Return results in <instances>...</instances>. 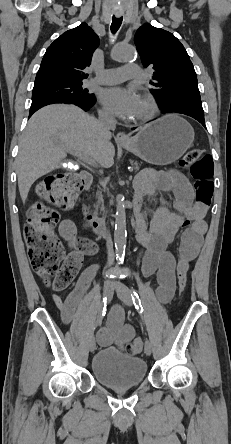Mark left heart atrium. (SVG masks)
<instances>
[{"instance_id": "left-heart-atrium-1", "label": "left heart atrium", "mask_w": 231, "mask_h": 444, "mask_svg": "<svg viewBox=\"0 0 231 444\" xmlns=\"http://www.w3.org/2000/svg\"><path fill=\"white\" fill-rule=\"evenodd\" d=\"M100 101L116 116L132 118L136 114L140 98L132 89L111 87L101 91Z\"/></svg>"}]
</instances>
